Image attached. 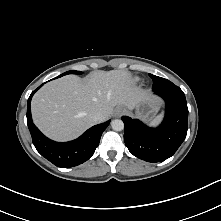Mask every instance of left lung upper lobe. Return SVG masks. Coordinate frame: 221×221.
I'll list each match as a JSON object with an SVG mask.
<instances>
[{
  "label": "left lung upper lobe",
  "instance_id": "obj_1",
  "mask_svg": "<svg viewBox=\"0 0 221 221\" xmlns=\"http://www.w3.org/2000/svg\"><path fill=\"white\" fill-rule=\"evenodd\" d=\"M149 76L152 78L153 80V90H159V89H165V88H171L174 87L176 85H174L171 81L149 74Z\"/></svg>",
  "mask_w": 221,
  "mask_h": 221
}]
</instances>
